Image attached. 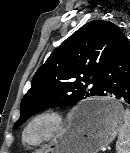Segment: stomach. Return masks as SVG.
<instances>
[{"instance_id": "obj_1", "label": "stomach", "mask_w": 130, "mask_h": 153, "mask_svg": "<svg viewBox=\"0 0 130 153\" xmlns=\"http://www.w3.org/2000/svg\"><path fill=\"white\" fill-rule=\"evenodd\" d=\"M92 108L95 114L79 120L77 113ZM124 109L114 98H96L81 105L70 125L56 137L44 153H97L116 137L123 123Z\"/></svg>"}]
</instances>
